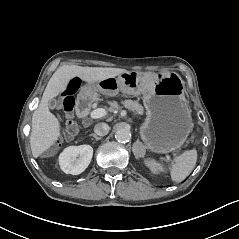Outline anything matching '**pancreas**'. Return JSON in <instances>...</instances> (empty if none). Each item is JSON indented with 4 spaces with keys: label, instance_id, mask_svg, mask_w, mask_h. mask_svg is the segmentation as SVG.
Instances as JSON below:
<instances>
[{
    "label": "pancreas",
    "instance_id": "obj_1",
    "mask_svg": "<svg viewBox=\"0 0 239 239\" xmlns=\"http://www.w3.org/2000/svg\"><path fill=\"white\" fill-rule=\"evenodd\" d=\"M116 107H117V105L115 104V105H114V108H116ZM124 107H125V108H128V109H131V110H133V111H136L138 114H141L142 111H143L142 106H141L140 104H138V103H135V102L132 101V100L125 101V102H124ZM139 144H140V143H139Z\"/></svg>",
    "mask_w": 239,
    "mask_h": 239
}]
</instances>
